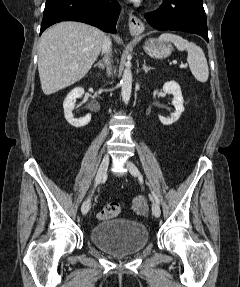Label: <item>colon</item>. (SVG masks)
I'll list each match as a JSON object with an SVG mask.
<instances>
[{"label":"colon","mask_w":240,"mask_h":287,"mask_svg":"<svg viewBox=\"0 0 240 287\" xmlns=\"http://www.w3.org/2000/svg\"><path fill=\"white\" fill-rule=\"evenodd\" d=\"M121 208L120 202L109 203L98 213V218L102 221L110 220L120 213Z\"/></svg>","instance_id":"obj_1"}]
</instances>
